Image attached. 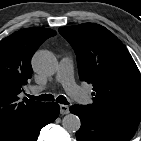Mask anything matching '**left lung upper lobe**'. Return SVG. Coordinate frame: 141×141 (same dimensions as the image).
Instances as JSON below:
<instances>
[{"label":"left lung upper lobe","mask_w":141,"mask_h":141,"mask_svg":"<svg viewBox=\"0 0 141 141\" xmlns=\"http://www.w3.org/2000/svg\"><path fill=\"white\" fill-rule=\"evenodd\" d=\"M74 48L79 77L93 85V103L102 115L138 126L141 120V75L123 43L95 23L59 28Z\"/></svg>","instance_id":"left-lung-upper-lobe-1"}]
</instances>
